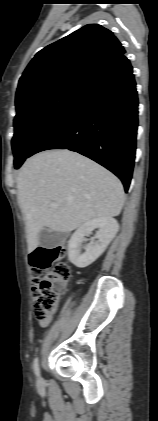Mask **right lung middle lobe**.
<instances>
[{"mask_svg":"<svg viewBox=\"0 0 158 421\" xmlns=\"http://www.w3.org/2000/svg\"><path fill=\"white\" fill-rule=\"evenodd\" d=\"M84 85H61L45 89L16 102L12 149L18 169L35 144L56 123L82 91Z\"/></svg>","mask_w":158,"mask_h":421,"instance_id":"obj_1","label":"right lung middle lobe"}]
</instances>
